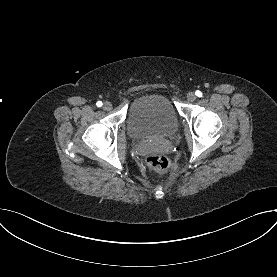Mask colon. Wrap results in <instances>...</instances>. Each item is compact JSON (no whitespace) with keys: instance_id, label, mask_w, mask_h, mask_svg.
I'll use <instances>...</instances> for the list:
<instances>
[{"instance_id":"5ec220e1","label":"colon","mask_w":277,"mask_h":277,"mask_svg":"<svg viewBox=\"0 0 277 277\" xmlns=\"http://www.w3.org/2000/svg\"><path fill=\"white\" fill-rule=\"evenodd\" d=\"M145 160L147 165L159 174L165 173L170 167L169 159L159 153L149 154Z\"/></svg>"}]
</instances>
